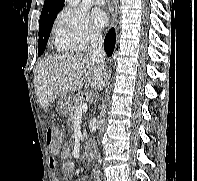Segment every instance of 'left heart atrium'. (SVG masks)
I'll return each mask as SVG.
<instances>
[{
	"label": "left heart atrium",
	"instance_id": "obj_1",
	"mask_svg": "<svg viewBox=\"0 0 197 181\" xmlns=\"http://www.w3.org/2000/svg\"><path fill=\"white\" fill-rule=\"evenodd\" d=\"M91 21L97 28H102L108 23L106 13L101 9H95L90 15Z\"/></svg>",
	"mask_w": 197,
	"mask_h": 181
}]
</instances>
